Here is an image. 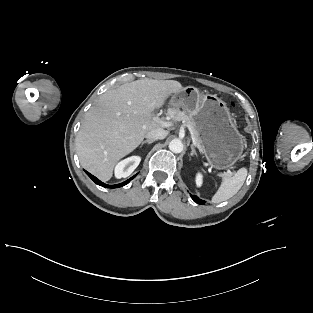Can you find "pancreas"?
<instances>
[{"label": "pancreas", "instance_id": "cf45deb5", "mask_svg": "<svg viewBox=\"0 0 313 313\" xmlns=\"http://www.w3.org/2000/svg\"><path fill=\"white\" fill-rule=\"evenodd\" d=\"M171 117L173 118V120L181 121L182 123L187 125V127L189 128V130L192 134V137H193L196 145L202 151L201 143L199 140L197 130L195 128V123H194L193 118L184 111H177L176 113L172 114Z\"/></svg>", "mask_w": 313, "mask_h": 313}]
</instances>
